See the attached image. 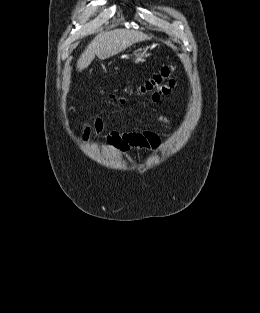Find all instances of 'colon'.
Masks as SVG:
<instances>
[{
	"mask_svg": "<svg viewBox=\"0 0 260 313\" xmlns=\"http://www.w3.org/2000/svg\"><path fill=\"white\" fill-rule=\"evenodd\" d=\"M173 71V66H164L131 92L137 95H148L152 101H158L176 85ZM111 97L115 96L111 95Z\"/></svg>",
	"mask_w": 260,
	"mask_h": 313,
	"instance_id": "colon-1",
	"label": "colon"
}]
</instances>
